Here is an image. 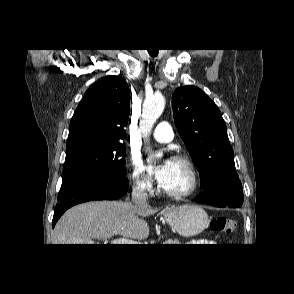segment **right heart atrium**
Listing matches in <instances>:
<instances>
[{
	"instance_id": "1",
	"label": "right heart atrium",
	"mask_w": 294,
	"mask_h": 294,
	"mask_svg": "<svg viewBox=\"0 0 294 294\" xmlns=\"http://www.w3.org/2000/svg\"><path fill=\"white\" fill-rule=\"evenodd\" d=\"M130 179L133 187L140 192H149L152 188V178L146 172L141 160L133 156L130 160Z\"/></svg>"
}]
</instances>
